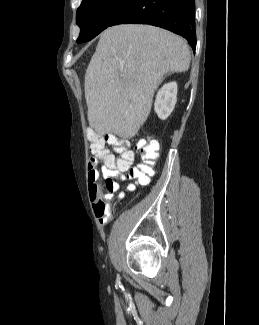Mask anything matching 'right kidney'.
<instances>
[{"instance_id": "ca27d5eb", "label": "right kidney", "mask_w": 259, "mask_h": 325, "mask_svg": "<svg viewBox=\"0 0 259 325\" xmlns=\"http://www.w3.org/2000/svg\"><path fill=\"white\" fill-rule=\"evenodd\" d=\"M177 102V83L170 82L158 91L154 103V110L158 117L165 120L172 113Z\"/></svg>"}]
</instances>
